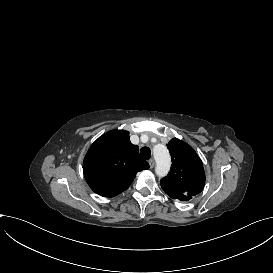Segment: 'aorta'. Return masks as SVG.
<instances>
[{
	"label": "aorta",
	"instance_id": "obj_1",
	"mask_svg": "<svg viewBox=\"0 0 273 273\" xmlns=\"http://www.w3.org/2000/svg\"><path fill=\"white\" fill-rule=\"evenodd\" d=\"M154 159L156 161V174L160 177L165 176L170 169V155L164 145L158 144L153 150Z\"/></svg>",
	"mask_w": 273,
	"mask_h": 273
}]
</instances>
